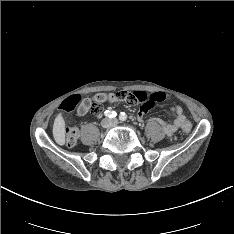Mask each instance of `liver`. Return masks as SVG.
Segmentation results:
<instances>
[{
	"label": "liver",
	"mask_w": 234,
	"mask_h": 234,
	"mask_svg": "<svg viewBox=\"0 0 234 234\" xmlns=\"http://www.w3.org/2000/svg\"><path fill=\"white\" fill-rule=\"evenodd\" d=\"M53 137L57 144L59 145L65 144V121L61 113H59L54 120Z\"/></svg>",
	"instance_id": "liver-1"
}]
</instances>
